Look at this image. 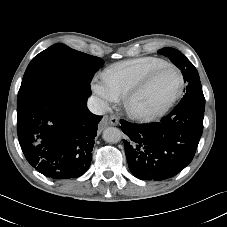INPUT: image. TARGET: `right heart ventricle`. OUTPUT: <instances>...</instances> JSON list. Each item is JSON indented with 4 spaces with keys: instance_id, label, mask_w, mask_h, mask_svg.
Masks as SVG:
<instances>
[{
    "instance_id": "right-heart-ventricle-1",
    "label": "right heart ventricle",
    "mask_w": 227,
    "mask_h": 227,
    "mask_svg": "<svg viewBox=\"0 0 227 227\" xmlns=\"http://www.w3.org/2000/svg\"><path fill=\"white\" fill-rule=\"evenodd\" d=\"M168 64L162 58L142 57L117 63L104 72L110 86L119 97L124 96L153 70Z\"/></svg>"
}]
</instances>
